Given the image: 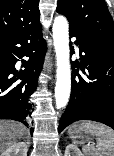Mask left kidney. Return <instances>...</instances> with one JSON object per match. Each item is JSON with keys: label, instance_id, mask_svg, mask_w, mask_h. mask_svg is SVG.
<instances>
[{"label": "left kidney", "instance_id": "1", "mask_svg": "<svg viewBox=\"0 0 114 156\" xmlns=\"http://www.w3.org/2000/svg\"><path fill=\"white\" fill-rule=\"evenodd\" d=\"M64 156H84V155L81 153L80 149L77 146L69 144L65 149Z\"/></svg>", "mask_w": 114, "mask_h": 156}]
</instances>
